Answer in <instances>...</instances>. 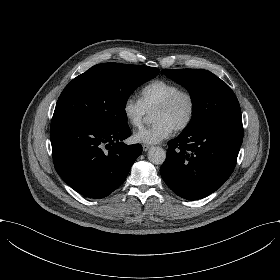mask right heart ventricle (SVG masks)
I'll use <instances>...</instances> for the list:
<instances>
[{
	"mask_svg": "<svg viewBox=\"0 0 280 280\" xmlns=\"http://www.w3.org/2000/svg\"><path fill=\"white\" fill-rule=\"evenodd\" d=\"M181 87L164 79H156L144 85L140 92L139 97L141 103L146 108L147 112H152L164 100L173 95Z\"/></svg>",
	"mask_w": 280,
	"mask_h": 280,
	"instance_id": "e07e8e85",
	"label": "right heart ventricle"
}]
</instances>
